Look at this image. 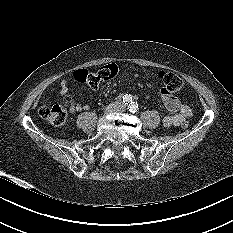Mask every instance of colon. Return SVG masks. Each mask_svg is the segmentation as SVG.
Wrapping results in <instances>:
<instances>
[{
  "label": "colon",
  "instance_id": "obj_1",
  "mask_svg": "<svg viewBox=\"0 0 233 233\" xmlns=\"http://www.w3.org/2000/svg\"><path fill=\"white\" fill-rule=\"evenodd\" d=\"M118 74V67L116 64H106L101 66L96 71H88L80 69L74 72V79L89 87L97 88L102 82L110 81ZM159 79L163 84V90L170 95L180 93L183 90V80L173 72H160ZM39 115L53 127L60 128L64 126L67 121V110L63 104H56L53 106H43L39 109ZM182 128L186 129L188 123H182Z\"/></svg>",
  "mask_w": 233,
  "mask_h": 233
}]
</instances>
